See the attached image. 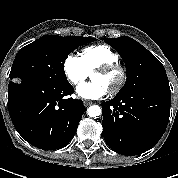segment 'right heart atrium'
Here are the masks:
<instances>
[{
	"instance_id": "d8ad5b80",
	"label": "right heart atrium",
	"mask_w": 178,
	"mask_h": 178,
	"mask_svg": "<svg viewBox=\"0 0 178 178\" xmlns=\"http://www.w3.org/2000/svg\"><path fill=\"white\" fill-rule=\"evenodd\" d=\"M63 70L67 80L73 85L82 83L89 75L81 58L72 54L65 58Z\"/></svg>"
}]
</instances>
